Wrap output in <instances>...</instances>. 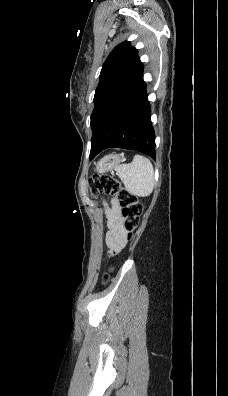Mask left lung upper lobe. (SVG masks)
<instances>
[{
  "label": "left lung upper lobe",
  "mask_w": 228,
  "mask_h": 396,
  "mask_svg": "<svg viewBox=\"0 0 228 396\" xmlns=\"http://www.w3.org/2000/svg\"><path fill=\"white\" fill-rule=\"evenodd\" d=\"M143 64L137 50L130 42L117 45L102 66L100 81L94 96V109L91 114V151L90 160L96 156L98 144L95 135L102 124L105 112L141 76Z\"/></svg>",
  "instance_id": "5c2ea615"
}]
</instances>
